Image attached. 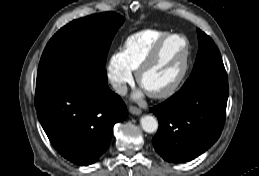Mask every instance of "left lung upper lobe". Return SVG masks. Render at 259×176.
Instances as JSON below:
<instances>
[{
    "label": "left lung upper lobe",
    "mask_w": 259,
    "mask_h": 176,
    "mask_svg": "<svg viewBox=\"0 0 259 176\" xmlns=\"http://www.w3.org/2000/svg\"><path fill=\"white\" fill-rule=\"evenodd\" d=\"M197 32L199 50L193 70L182 88L203 79H215L228 82L220 52L214 41L203 31L198 30Z\"/></svg>",
    "instance_id": "left-lung-upper-lobe-1"
}]
</instances>
